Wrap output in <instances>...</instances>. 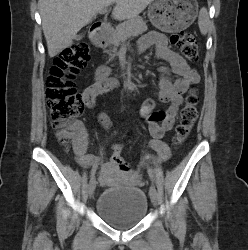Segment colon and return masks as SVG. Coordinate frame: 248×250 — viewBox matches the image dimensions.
I'll list each match as a JSON object with an SVG mask.
<instances>
[{
	"label": "colon",
	"instance_id": "1",
	"mask_svg": "<svg viewBox=\"0 0 248 250\" xmlns=\"http://www.w3.org/2000/svg\"><path fill=\"white\" fill-rule=\"evenodd\" d=\"M170 39L187 61H198V45L191 33L175 32L171 34ZM89 60V45L86 42L75 43L64 49L55 58L46 80V96L52 125L57 132L58 139L64 145L74 138L72 123L84 109L83 100L77 92L73 80ZM197 104V91L192 89L180 112L179 123L175 129V144L182 143L191 132L197 118ZM121 149V145L113 148L111 162L126 172L129 171V165L120 156Z\"/></svg>",
	"mask_w": 248,
	"mask_h": 250
}]
</instances>
